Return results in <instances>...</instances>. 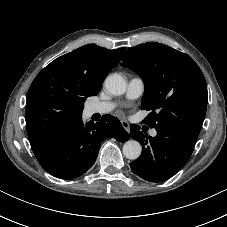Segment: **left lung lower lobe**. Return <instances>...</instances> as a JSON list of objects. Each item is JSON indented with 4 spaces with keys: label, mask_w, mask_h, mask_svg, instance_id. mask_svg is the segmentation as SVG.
I'll return each mask as SVG.
<instances>
[{
    "label": "left lung lower lobe",
    "mask_w": 227,
    "mask_h": 227,
    "mask_svg": "<svg viewBox=\"0 0 227 227\" xmlns=\"http://www.w3.org/2000/svg\"><path fill=\"white\" fill-rule=\"evenodd\" d=\"M157 136H147L137 125L130 126L131 138L142 145V154L130 163L132 171L151 182H162L179 172L188 162L195 143L172 131L156 129Z\"/></svg>",
    "instance_id": "obj_1"
}]
</instances>
